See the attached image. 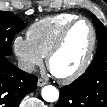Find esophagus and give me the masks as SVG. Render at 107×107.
I'll use <instances>...</instances> for the list:
<instances>
[{"label": "esophagus", "mask_w": 107, "mask_h": 107, "mask_svg": "<svg viewBox=\"0 0 107 107\" xmlns=\"http://www.w3.org/2000/svg\"><path fill=\"white\" fill-rule=\"evenodd\" d=\"M47 83L48 82L46 80L42 79V78L38 79V86L39 87H42V86L46 85Z\"/></svg>", "instance_id": "obj_1"}]
</instances>
